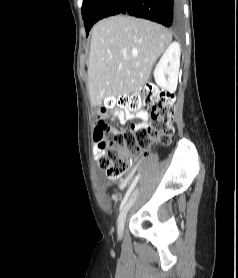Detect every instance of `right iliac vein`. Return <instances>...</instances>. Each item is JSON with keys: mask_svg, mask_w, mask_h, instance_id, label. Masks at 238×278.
I'll list each match as a JSON object with an SVG mask.
<instances>
[{"mask_svg": "<svg viewBox=\"0 0 238 278\" xmlns=\"http://www.w3.org/2000/svg\"><path fill=\"white\" fill-rule=\"evenodd\" d=\"M139 189H144V186H138V189H135V192L126 201V203L124 204V206L120 212V215L118 218V226H117V233H118L119 237H122V235H123L126 215H127L128 210L130 209V207L134 204V202L136 200L135 195H141V192H139Z\"/></svg>", "mask_w": 238, "mask_h": 278, "instance_id": "1", "label": "right iliac vein"}]
</instances>
